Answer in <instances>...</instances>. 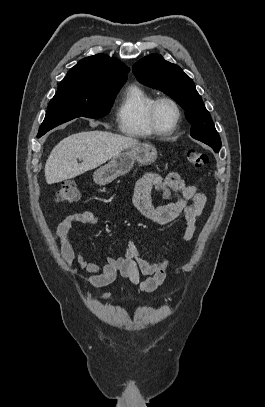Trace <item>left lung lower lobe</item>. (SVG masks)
<instances>
[{"label": "left lung lower lobe", "mask_w": 265, "mask_h": 407, "mask_svg": "<svg viewBox=\"0 0 265 407\" xmlns=\"http://www.w3.org/2000/svg\"><path fill=\"white\" fill-rule=\"evenodd\" d=\"M209 146H210V145H209ZM210 147H212L215 152H218V151L220 150V148H216V147H214V146H210Z\"/></svg>", "instance_id": "obj_1"}]
</instances>
